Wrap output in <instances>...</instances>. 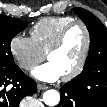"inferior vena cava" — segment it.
<instances>
[{
  "label": "inferior vena cava",
  "instance_id": "602c4592",
  "mask_svg": "<svg viewBox=\"0 0 107 107\" xmlns=\"http://www.w3.org/2000/svg\"><path fill=\"white\" fill-rule=\"evenodd\" d=\"M32 68H34V65H30V66H29V69H32Z\"/></svg>",
  "mask_w": 107,
  "mask_h": 107
}]
</instances>
